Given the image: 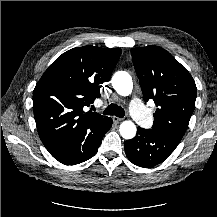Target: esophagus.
I'll list each match as a JSON object with an SVG mask.
<instances>
[{"label": "esophagus", "instance_id": "esophagus-1", "mask_svg": "<svg viewBox=\"0 0 217 217\" xmlns=\"http://www.w3.org/2000/svg\"><path fill=\"white\" fill-rule=\"evenodd\" d=\"M112 120H113L114 123H118V122L122 121L121 118L116 117V116H113V117H112Z\"/></svg>", "mask_w": 217, "mask_h": 217}]
</instances>
